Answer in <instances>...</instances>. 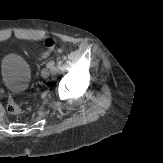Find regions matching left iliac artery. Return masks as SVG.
<instances>
[{"label": "left iliac artery", "instance_id": "obj_1", "mask_svg": "<svg viewBox=\"0 0 163 163\" xmlns=\"http://www.w3.org/2000/svg\"><path fill=\"white\" fill-rule=\"evenodd\" d=\"M47 66H48L49 68H51V69H54V68H55V63H54V61L48 62Z\"/></svg>", "mask_w": 163, "mask_h": 163}]
</instances>
